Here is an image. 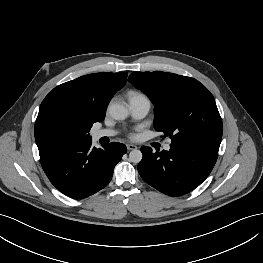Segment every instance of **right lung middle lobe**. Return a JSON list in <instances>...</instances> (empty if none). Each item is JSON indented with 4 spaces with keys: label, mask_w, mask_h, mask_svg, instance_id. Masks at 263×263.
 <instances>
[{
    "label": "right lung middle lobe",
    "mask_w": 263,
    "mask_h": 263,
    "mask_svg": "<svg viewBox=\"0 0 263 263\" xmlns=\"http://www.w3.org/2000/svg\"><path fill=\"white\" fill-rule=\"evenodd\" d=\"M92 127L91 123H59L55 126L50 145L53 150L61 151L75 144L91 140L88 133Z\"/></svg>",
    "instance_id": "right-lung-middle-lobe-1"
}]
</instances>
